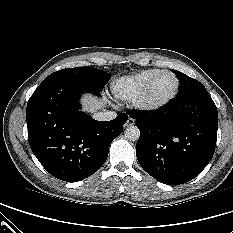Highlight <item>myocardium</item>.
Listing matches in <instances>:
<instances>
[{"label":"myocardium","instance_id":"obj_1","mask_svg":"<svg viewBox=\"0 0 233 233\" xmlns=\"http://www.w3.org/2000/svg\"><path fill=\"white\" fill-rule=\"evenodd\" d=\"M163 74H170L174 80H175V88L173 90V92L171 93L170 96H168L167 98H165L162 101L159 102H152L148 99V94L149 91L153 85V83L156 81V79L163 75ZM179 90H180V80L177 77V75L171 71V70H161L158 73H156L145 85V87L143 88V90L141 91V93L137 96V98L134 100V103L136 105V107L142 111H146V112H156L159 110L164 109L165 107H167L170 103H172L175 98L177 97V95L179 94Z\"/></svg>","mask_w":233,"mask_h":233}]
</instances>
